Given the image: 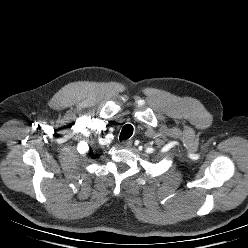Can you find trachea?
Returning a JSON list of instances; mask_svg holds the SVG:
<instances>
[{"instance_id": "trachea-1", "label": "trachea", "mask_w": 248, "mask_h": 248, "mask_svg": "<svg viewBox=\"0 0 248 248\" xmlns=\"http://www.w3.org/2000/svg\"><path fill=\"white\" fill-rule=\"evenodd\" d=\"M133 134V127L130 124H127L123 127L121 133H120V141L127 140L130 138Z\"/></svg>"}]
</instances>
